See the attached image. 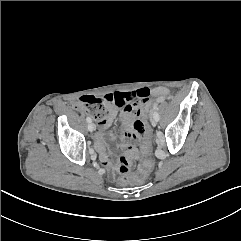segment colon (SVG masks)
Here are the masks:
<instances>
[{"label": "colon", "mask_w": 241, "mask_h": 241, "mask_svg": "<svg viewBox=\"0 0 241 241\" xmlns=\"http://www.w3.org/2000/svg\"><path fill=\"white\" fill-rule=\"evenodd\" d=\"M116 101L110 96L95 97L82 96L73 102V106L80 112L90 114L96 121L101 122L105 120L111 113L113 105ZM150 110V103L144 102L141 106V119L144 122L142 127V143H141V161L139 162L140 171L136 175L130 173L131 158L128 156H121L116 165L117 171L121 174L119 183L126 185L132 182H141L146 178V173L149 171L151 165V128L152 123L149 121L148 111Z\"/></svg>", "instance_id": "1"}]
</instances>
